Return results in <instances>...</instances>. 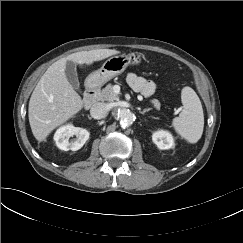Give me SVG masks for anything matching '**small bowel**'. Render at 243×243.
Masks as SVG:
<instances>
[{"label": "small bowel", "mask_w": 243, "mask_h": 243, "mask_svg": "<svg viewBox=\"0 0 243 243\" xmlns=\"http://www.w3.org/2000/svg\"><path fill=\"white\" fill-rule=\"evenodd\" d=\"M127 82L135 91L140 92L146 97L151 96L156 89V86L152 81H148L134 73H129L127 75Z\"/></svg>", "instance_id": "c3829d8e"}]
</instances>
